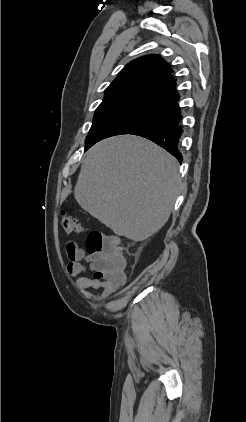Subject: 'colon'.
<instances>
[{
	"label": "colon",
	"instance_id": "colon-1",
	"mask_svg": "<svg viewBox=\"0 0 246 422\" xmlns=\"http://www.w3.org/2000/svg\"><path fill=\"white\" fill-rule=\"evenodd\" d=\"M63 227L69 233H82L86 228L76 219L64 217ZM87 252L97 255L100 268L97 276L100 278H117L123 274L125 259L120 246V238L116 235H105L99 231H91L86 241Z\"/></svg>",
	"mask_w": 246,
	"mask_h": 422
}]
</instances>
